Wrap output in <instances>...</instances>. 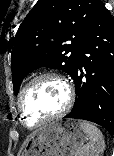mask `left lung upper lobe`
I'll list each match as a JSON object with an SVG mask.
<instances>
[{"label": "left lung upper lobe", "mask_w": 114, "mask_h": 156, "mask_svg": "<svg viewBox=\"0 0 114 156\" xmlns=\"http://www.w3.org/2000/svg\"><path fill=\"white\" fill-rule=\"evenodd\" d=\"M99 0H38L20 25L11 55L14 94L42 66L74 74L81 42Z\"/></svg>", "instance_id": "left-lung-upper-lobe-1"}]
</instances>
